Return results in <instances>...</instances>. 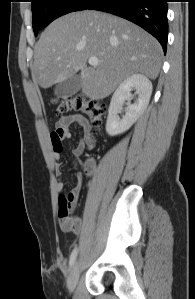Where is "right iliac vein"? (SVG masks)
<instances>
[{
  "label": "right iliac vein",
  "mask_w": 195,
  "mask_h": 299,
  "mask_svg": "<svg viewBox=\"0 0 195 299\" xmlns=\"http://www.w3.org/2000/svg\"><path fill=\"white\" fill-rule=\"evenodd\" d=\"M79 274H80V269H79L78 263L76 262L73 265V267H72V269L70 271L68 280H67V288H68L69 292H71V293L76 288L77 281H78V278H79Z\"/></svg>",
  "instance_id": "obj_1"
}]
</instances>
